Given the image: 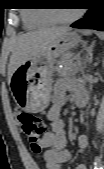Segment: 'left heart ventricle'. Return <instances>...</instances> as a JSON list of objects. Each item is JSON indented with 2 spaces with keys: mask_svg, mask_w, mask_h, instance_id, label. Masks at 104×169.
I'll return each instance as SVG.
<instances>
[{
  "mask_svg": "<svg viewBox=\"0 0 104 169\" xmlns=\"http://www.w3.org/2000/svg\"><path fill=\"white\" fill-rule=\"evenodd\" d=\"M58 17L67 18L74 14V9H63L55 11Z\"/></svg>",
  "mask_w": 104,
  "mask_h": 169,
  "instance_id": "left-heart-ventricle-1",
  "label": "left heart ventricle"
}]
</instances>
